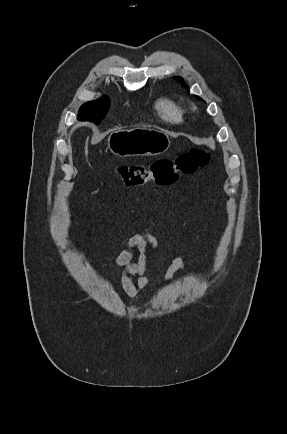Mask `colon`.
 Segmentation results:
<instances>
[{
  "label": "colon",
  "mask_w": 287,
  "mask_h": 434,
  "mask_svg": "<svg viewBox=\"0 0 287 434\" xmlns=\"http://www.w3.org/2000/svg\"><path fill=\"white\" fill-rule=\"evenodd\" d=\"M209 163V154L203 148H192L174 160H157L149 166L134 164L117 168L120 180L127 186H144L154 183L159 186L174 184L179 177L195 173Z\"/></svg>",
  "instance_id": "1"
}]
</instances>
